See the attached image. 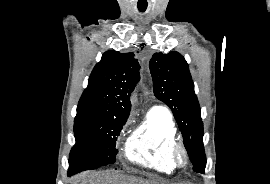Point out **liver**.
<instances>
[{
    "label": "liver",
    "mask_w": 270,
    "mask_h": 184,
    "mask_svg": "<svg viewBox=\"0 0 270 184\" xmlns=\"http://www.w3.org/2000/svg\"><path fill=\"white\" fill-rule=\"evenodd\" d=\"M76 179L80 180L81 184H164L162 182H151L133 176L122 175L113 170L86 172L79 175Z\"/></svg>",
    "instance_id": "1"
}]
</instances>
